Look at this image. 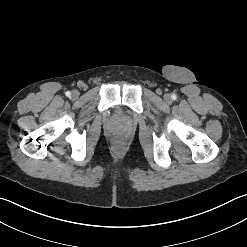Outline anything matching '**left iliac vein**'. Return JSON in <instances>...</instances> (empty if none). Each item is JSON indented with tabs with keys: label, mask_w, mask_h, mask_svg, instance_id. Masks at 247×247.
I'll list each match as a JSON object with an SVG mask.
<instances>
[{
	"label": "left iliac vein",
	"mask_w": 247,
	"mask_h": 247,
	"mask_svg": "<svg viewBox=\"0 0 247 247\" xmlns=\"http://www.w3.org/2000/svg\"><path fill=\"white\" fill-rule=\"evenodd\" d=\"M164 99H165L166 102H170L171 101V97H170L169 94H165L164 95Z\"/></svg>",
	"instance_id": "obj_1"
}]
</instances>
